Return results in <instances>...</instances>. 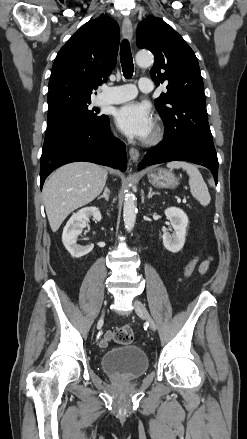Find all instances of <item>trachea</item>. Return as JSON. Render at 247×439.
<instances>
[{"label":"trachea","mask_w":247,"mask_h":439,"mask_svg":"<svg viewBox=\"0 0 247 439\" xmlns=\"http://www.w3.org/2000/svg\"><path fill=\"white\" fill-rule=\"evenodd\" d=\"M120 59L123 75L126 79H130L133 75L134 64L128 40L124 39L120 47Z\"/></svg>","instance_id":"obj_1"}]
</instances>
